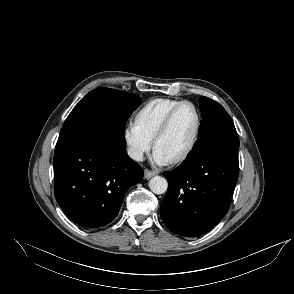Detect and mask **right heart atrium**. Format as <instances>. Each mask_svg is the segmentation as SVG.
<instances>
[{"label": "right heart atrium", "instance_id": "d8ad5b80", "mask_svg": "<svg viewBox=\"0 0 294 294\" xmlns=\"http://www.w3.org/2000/svg\"><path fill=\"white\" fill-rule=\"evenodd\" d=\"M122 135L130 158L142 161L152 146V139L140 129L136 122H128L123 128Z\"/></svg>", "mask_w": 294, "mask_h": 294}]
</instances>
